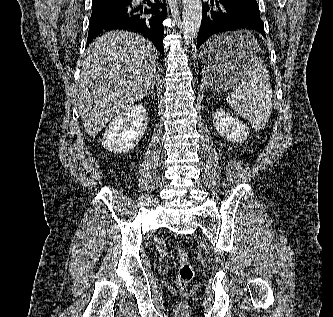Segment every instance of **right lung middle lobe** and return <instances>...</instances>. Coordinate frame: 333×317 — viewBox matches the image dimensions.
I'll return each mask as SVG.
<instances>
[{"label": "right lung middle lobe", "instance_id": "right-lung-middle-lobe-1", "mask_svg": "<svg viewBox=\"0 0 333 317\" xmlns=\"http://www.w3.org/2000/svg\"><path fill=\"white\" fill-rule=\"evenodd\" d=\"M124 1H114V0H93L92 6H98L101 4H106V3H121Z\"/></svg>", "mask_w": 333, "mask_h": 317}]
</instances>
